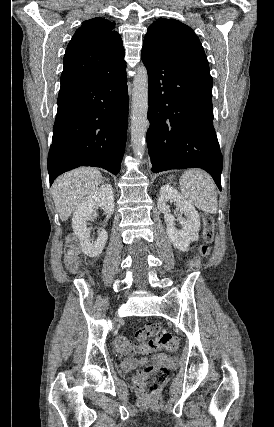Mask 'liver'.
I'll use <instances>...</instances> for the list:
<instances>
[{
  "label": "liver",
  "mask_w": 274,
  "mask_h": 427,
  "mask_svg": "<svg viewBox=\"0 0 274 427\" xmlns=\"http://www.w3.org/2000/svg\"><path fill=\"white\" fill-rule=\"evenodd\" d=\"M102 182L103 178L95 168H77L59 176L52 190L53 200L62 221H66L76 206L84 202L85 196H89Z\"/></svg>",
  "instance_id": "1"
}]
</instances>
